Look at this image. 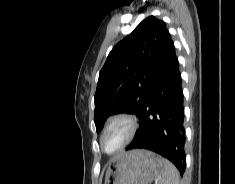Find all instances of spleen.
<instances>
[{
  "instance_id": "obj_1",
  "label": "spleen",
  "mask_w": 235,
  "mask_h": 184,
  "mask_svg": "<svg viewBox=\"0 0 235 184\" xmlns=\"http://www.w3.org/2000/svg\"><path fill=\"white\" fill-rule=\"evenodd\" d=\"M162 164L163 170L158 184H179L180 174L177 168L165 158H162Z\"/></svg>"
}]
</instances>
